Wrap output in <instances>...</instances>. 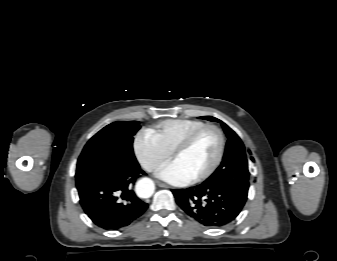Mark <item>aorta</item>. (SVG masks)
<instances>
[{"label": "aorta", "instance_id": "aorta-1", "mask_svg": "<svg viewBox=\"0 0 337 261\" xmlns=\"http://www.w3.org/2000/svg\"><path fill=\"white\" fill-rule=\"evenodd\" d=\"M154 190V182L149 178H142L136 183V193L141 198L151 197Z\"/></svg>", "mask_w": 337, "mask_h": 261}]
</instances>
